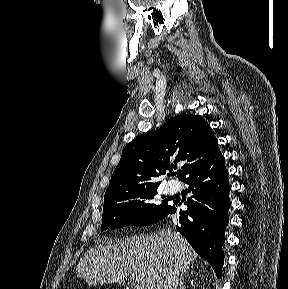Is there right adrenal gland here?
I'll use <instances>...</instances> for the list:
<instances>
[{
	"label": "right adrenal gland",
	"mask_w": 288,
	"mask_h": 289,
	"mask_svg": "<svg viewBox=\"0 0 288 289\" xmlns=\"http://www.w3.org/2000/svg\"><path fill=\"white\" fill-rule=\"evenodd\" d=\"M187 272H182L180 276L179 286L178 289H186V286L184 285V276H186Z\"/></svg>",
	"instance_id": "1"
}]
</instances>
